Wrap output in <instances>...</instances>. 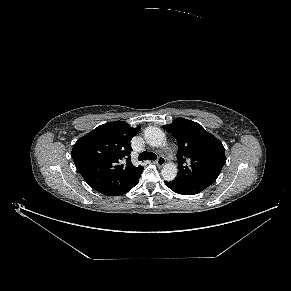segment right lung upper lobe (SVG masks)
Returning <instances> with one entry per match:
<instances>
[{"label": "right lung upper lobe", "mask_w": 291, "mask_h": 291, "mask_svg": "<svg viewBox=\"0 0 291 291\" xmlns=\"http://www.w3.org/2000/svg\"><path fill=\"white\" fill-rule=\"evenodd\" d=\"M140 127L124 121L98 126L74 144L71 156L79 173L96 191H117L133 181L143 167L131 163L130 141Z\"/></svg>", "instance_id": "right-lung-upper-lobe-1"}]
</instances>
